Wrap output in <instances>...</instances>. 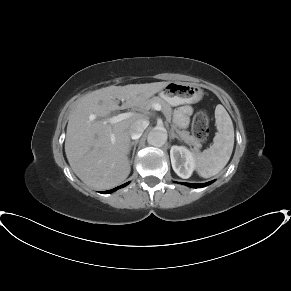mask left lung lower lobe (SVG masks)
<instances>
[{
  "mask_svg": "<svg viewBox=\"0 0 291 291\" xmlns=\"http://www.w3.org/2000/svg\"><path fill=\"white\" fill-rule=\"evenodd\" d=\"M212 182L202 183V184H194V183H183L189 187L200 188L211 184Z\"/></svg>",
  "mask_w": 291,
  "mask_h": 291,
  "instance_id": "1",
  "label": "left lung lower lobe"
}]
</instances>
